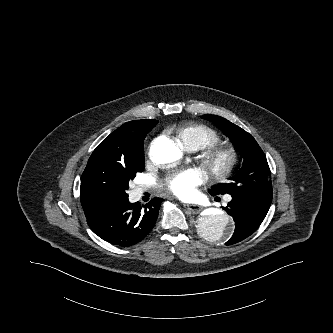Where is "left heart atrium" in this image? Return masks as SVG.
I'll return each instance as SVG.
<instances>
[{"instance_id": "39dd6f15", "label": "left heart atrium", "mask_w": 333, "mask_h": 333, "mask_svg": "<svg viewBox=\"0 0 333 333\" xmlns=\"http://www.w3.org/2000/svg\"><path fill=\"white\" fill-rule=\"evenodd\" d=\"M204 181L203 173L196 168L180 170L165 180V187L181 199L192 198L196 187Z\"/></svg>"}]
</instances>
